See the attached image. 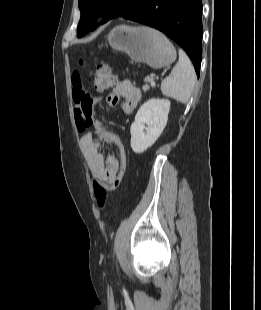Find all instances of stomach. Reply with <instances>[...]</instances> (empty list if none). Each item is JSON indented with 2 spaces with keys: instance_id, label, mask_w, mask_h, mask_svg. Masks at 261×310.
Here are the masks:
<instances>
[{
  "instance_id": "stomach-1",
  "label": "stomach",
  "mask_w": 261,
  "mask_h": 310,
  "mask_svg": "<svg viewBox=\"0 0 261 310\" xmlns=\"http://www.w3.org/2000/svg\"><path fill=\"white\" fill-rule=\"evenodd\" d=\"M109 45L116 51L125 52L138 63H146L154 69L171 65L177 57L168 39L149 27L118 25L108 34Z\"/></svg>"
}]
</instances>
